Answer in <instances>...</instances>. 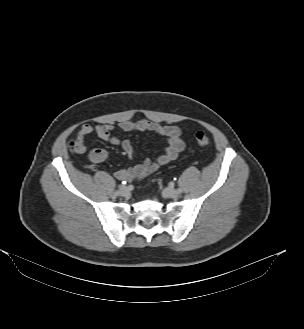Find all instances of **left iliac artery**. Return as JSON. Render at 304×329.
I'll list each match as a JSON object with an SVG mask.
<instances>
[{
	"label": "left iliac artery",
	"instance_id": "44dca946",
	"mask_svg": "<svg viewBox=\"0 0 304 329\" xmlns=\"http://www.w3.org/2000/svg\"><path fill=\"white\" fill-rule=\"evenodd\" d=\"M177 191H178V193H181L182 192V190L180 188Z\"/></svg>",
	"mask_w": 304,
	"mask_h": 329
}]
</instances>
